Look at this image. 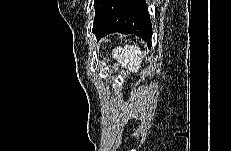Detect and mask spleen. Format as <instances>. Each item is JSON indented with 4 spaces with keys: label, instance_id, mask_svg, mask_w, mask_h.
<instances>
[{
    "label": "spleen",
    "instance_id": "obj_1",
    "mask_svg": "<svg viewBox=\"0 0 231 151\" xmlns=\"http://www.w3.org/2000/svg\"><path fill=\"white\" fill-rule=\"evenodd\" d=\"M112 56L123 67L131 72L137 73L143 60L142 51L138 46L125 45L123 48L118 47L112 51Z\"/></svg>",
    "mask_w": 231,
    "mask_h": 151
}]
</instances>
